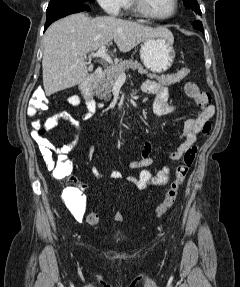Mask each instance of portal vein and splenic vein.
Returning <instances> with one entry per match:
<instances>
[{
	"label": "portal vein and splenic vein",
	"mask_w": 240,
	"mask_h": 287,
	"mask_svg": "<svg viewBox=\"0 0 240 287\" xmlns=\"http://www.w3.org/2000/svg\"><path fill=\"white\" fill-rule=\"evenodd\" d=\"M95 57L101 58L111 65L113 64L111 57L106 53V45L101 46L96 53H92L91 55H89V59ZM120 76L125 77L126 75L124 72H122Z\"/></svg>",
	"instance_id": "portal-vein-and-splenic-vein-1"
}]
</instances>
